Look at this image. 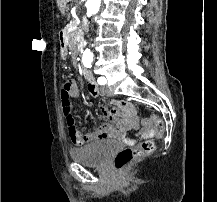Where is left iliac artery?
<instances>
[{"mask_svg": "<svg viewBox=\"0 0 217 202\" xmlns=\"http://www.w3.org/2000/svg\"><path fill=\"white\" fill-rule=\"evenodd\" d=\"M97 82L100 84V85H104L106 84V79L102 78V77H99Z\"/></svg>", "mask_w": 217, "mask_h": 202, "instance_id": "44dca946", "label": "left iliac artery"}]
</instances>
